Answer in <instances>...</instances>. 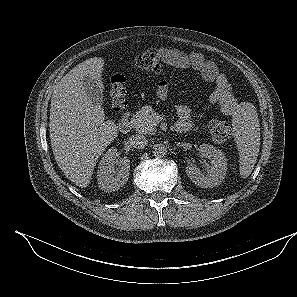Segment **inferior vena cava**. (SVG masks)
I'll list each match as a JSON object with an SVG mask.
<instances>
[{
  "label": "inferior vena cava",
  "instance_id": "inferior-vena-cava-1",
  "mask_svg": "<svg viewBox=\"0 0 297 297\" xmlns=\"http://www.w3.org/2000/svg\"><path fill=\"white\" fill-rule=\"evenodd\" d=\"M130 144L137 149H143L147 144L148 140L143 135H133L129 138Z\"/></svg>",
  "mask_w": 297,
  "mask_h": 297
}]
</instances>
